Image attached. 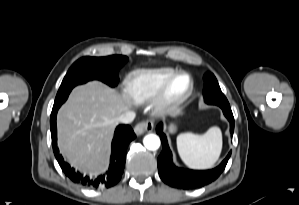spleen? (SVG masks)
<instances>
[{
    "label": "spleen",
    "instance_id": "1",
    "mask_svg": "<svg viewBox=\"0 0 299 205\" xmlns=\"http://www.w3.org/2000/svg\"><path fill=\"white\" fill-rule=\"evenodd\" d=\"M177 150L182 161L192 169H209L222 151V133L211 127L204 134L181 133L177 137Z\"/></svg>",
    "mask_w": 299,
    "mask_h": 205
}]
</instances>
